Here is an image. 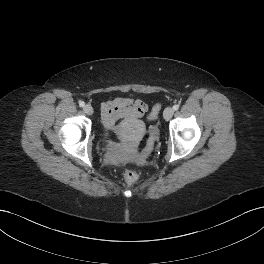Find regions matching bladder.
Instances as JSON below:
<instances>
[{
	"label": "bladder",
	"mask_w": 264,
	"mask_h": 264,
	"mask_svg": "<svg viewBox=\"0 0 264 264\" xmlns=\"http://www.w3.org/2000/svg\"><path fill=\"white\" fill-rule=\"evenodd\" d=\"M106 135H107V132L104 130V131L102 132V136H103V137H106Z\"/></svg>",
	"instance_id": "1"
}]
</instances>
